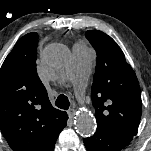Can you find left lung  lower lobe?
I'll use <instances>...</instances> for the list:
<instances>
[{
    "mask_svg": "<svg viewBox=\"0 0 151 151\" xmlns=\"http://www.w3.org/2000/svg\"><path fill=\"white\" fill-rule=\"evenodd\" d=\"M132 139L128 135L97 128L93 136L84 139V144L88 151H121Z\"/></svg>",
    "mask_w": 151,
    "mask_h": 151,
    "instance_id": "1",
    "label": "left lung lower lobe"
}]
</instances>
